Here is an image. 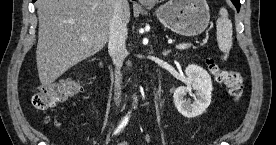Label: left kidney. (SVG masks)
Here are the masks:
<instances>
[{"label": "left kidney", "mask_w": 276, "mask_h": 145, "mask_svg": "<svg viewBox=\"0 0 276 145\" xmlns=\"http://www.w3.org/2000/svg\"><path fill=\"white\" fill-rule=\"evenodd\" d=\"M185 73L188 77L187 87H178L173 95L174 104L180 114L187 118H195L201 115L211 103L213 90L210 75L202 67L190 64L186 67ZM195 91L194 101L186 100L187 92Z\"/></svg>", "instance_id": "5707ae66"}]
</instances>
